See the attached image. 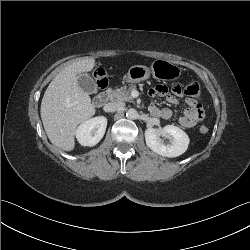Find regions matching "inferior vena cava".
Listing matches in <instances>:
<instances>
[{"mask_svg":"<svg viewBox=\"0 0 250 250\" xmlns=\"http://www.w3.org/2000/svg\"><path fill=\"white\" fill-rule=\"evenodd\" d=\"M121 107H123L122 103L112 102V103H108L107 105H105L104 111L105 112H115V111L119 110Z\"/></svg>","mask_w":250,"mask_h":250,"instance_id":"1","label":"inferior vena cava"}]
</instances>
